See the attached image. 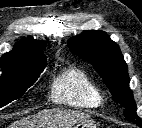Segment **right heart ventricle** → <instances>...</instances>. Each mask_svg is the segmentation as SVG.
Listing matches in <instances>:
<instances>
[{
	"instance_id": "1",
	"label": "right heart ventricle",
	"mask_w": 142,
	"mask_h": 128,
	"mask_svg": "<svg viewBox=\"0 0 142 128\" xmlns=\"http://www.w3.org/2000/svg\"><path fill=\"white\" fill-rule=\"evenodd\" d=\"M51 95L57 103L79 108H96L104 102L99 87L76 67L65 68L54 78Z\"/></svg>"
}]
</instances>
